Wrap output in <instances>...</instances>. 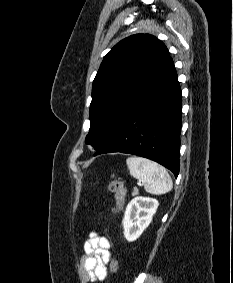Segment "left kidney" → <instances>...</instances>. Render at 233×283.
Masks as SVG:
<instances>
[{"mask_svg": "<svg viewBox=\"0 0 233 283\" xmlns=\"http://www.w3.org/2000/svg\"><path fill=\"white\" fill-rule=\"evenodd\" d=\"M158 201L153 198L135 197L127 205L122 221L124 237L127 241H135L152 221L158 208Z\"/></svg>", "mask_w": 233, "mask_h": 283, "instance_id": "1", "label": "left kidney"}]
</instances>
